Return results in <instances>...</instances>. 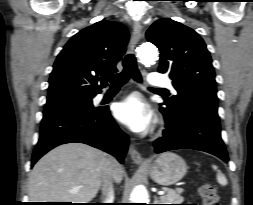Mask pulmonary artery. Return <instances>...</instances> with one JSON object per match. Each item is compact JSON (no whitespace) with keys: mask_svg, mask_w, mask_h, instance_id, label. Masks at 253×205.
I'll use <instances>...</instances> for the list:
<instances>
[{"mask_svg":"<svg viewBox=\"0 0 253 205\" xmlns=\"http://www.w3.org/2000/svg\"><path fill=\"white\" fill-rule=\"evenodd\" d=\"M148 82L154 86L168 87L172 90V92L176 93V90L173 88L171 82L167 79L161 78L157 73L149 74ZM103 96L104 94H101L100 98H102Z\"/></svg>","mask_w":253,"mask_h":205,"instance_id":"1","label":"pulmonary artery"}]
</instances>
